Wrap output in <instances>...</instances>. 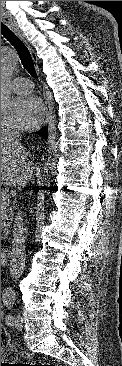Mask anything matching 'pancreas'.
<instances>
[{"mask_svg": "<svg viewBox=\"0 0 122 366\" xmlns=\"http://www.w3.org/2000/svg\"><path fill=\"white\" fill-rule=\"evenodd\" d=\"M5 198V200H3ZM9 194L6 190H1V233L4 234V238L9 233V227L10 224L7 222V208L9 206ZM3 239V236H1V240Z\"/></svg>", "mask_w": 122, "mask_h": 366, "instance_id": "pancreas-1", "label": "pancreas"}]
</instances>
